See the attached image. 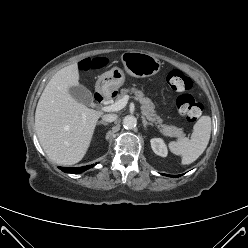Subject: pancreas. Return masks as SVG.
Instances as JSON below:
<instances>
[{
    "label": "pancreas",
    "mask_w": 248,
    "mask_h": 248,
    "mask_svg": "<svg viewBox=\"0 0 248 248\" xmlns=\"http://www.w3.org/2000/svg\"><path fill=\"white\" fill-rule=\"evenodd\" d=\"M128 92L135 94V98L141 103L142 114L151 122L152 125H157L164 135L176 137L178 139L185 136L184 132L180 128L162 124L163 120L156 114L153 102L148 97H145L142 91H139L136 88L121 89L120 94L116 97V101L122 99Z\"/></svg>",
    "instance_id": "pancreas-1"
}]
</instances>
